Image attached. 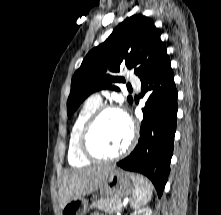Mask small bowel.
<instances>
[{"instance_id": "1", "label": "small bowel", "mask_w": 221, "mask_h": 215, "mask_svg": "<svg viewBox=\"0 0 221 215\" xmlns=\"http://www.w3.org/2000/svg\"><path fill=\"white\" fill-rule=\"evenodd\" d=\"M92 215H103V214H99V213H94V214H92Z\"/></svg>"}]
</instances>
